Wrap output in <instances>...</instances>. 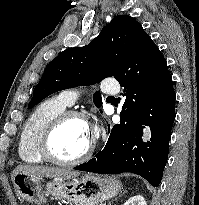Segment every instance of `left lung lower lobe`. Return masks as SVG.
I'll list each match as a JSON object with an SVG mask.
<instances>
[{"label":"left lung lower lobe","mask_w":199,"mask_h":205,"mask_svg":"<svg viewBox=\"0 0 199 205\" xmlns=\"http://www.w3.org/2000/svg\"><path fill=\"white\" fill-rule=\"evenodd\" d=\"M124 87L120 124L115 125L104 148L76 170L99 174L131 172L153 186L161 183L175 119V92L167 62L143 30L125 58L118 76ZM143 125L151 128L143 143Z\"/></svg>","instance_id":"1"}]
</instances>
